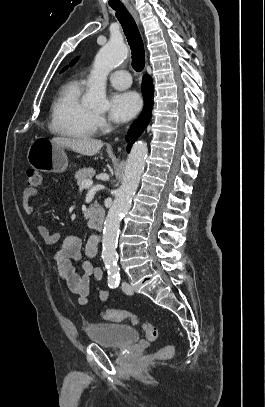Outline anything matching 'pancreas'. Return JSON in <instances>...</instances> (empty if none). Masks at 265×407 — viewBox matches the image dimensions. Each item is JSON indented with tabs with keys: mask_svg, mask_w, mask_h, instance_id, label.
<instances>
[{
	"mask_svg": "<svg viewBox=\"0 0 265 407\" xmlns=\"http://www.w3.org/2000/svg\"><path fill=\"white\" fill-rule=\"evenodd\" d=\"M94 175L95 170L93 168H83L76 172L75 179L77 181V184L81 185L83 181L90 180ZM93 206L96 207L97 204L95 203L91 206V208H93Z\"/></svg>",
	"mask_w": 265,
	"mask_h": 407,
	"instance_id": "pancreas-1",
	"label": "pancreas"
}]
</instances>
